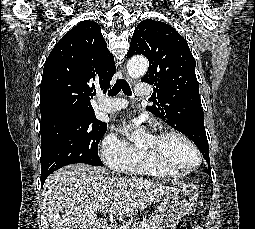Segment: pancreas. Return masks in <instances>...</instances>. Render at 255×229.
I'll return each instance as SVG.
<instances>
[{
	"instance_id": "obj_1",
	"label": "pancreas",
	"mask_w": 255,
	"mask_h": 229,
	"mask_svg": "<svg viewBox=\"0 0 255 229\" xmlns=\"http://www.w3.org/2000/svg\"><path fill=\"white\" fill-rule=\"evenodd\" d=\"M144 225H148V229H161L156 223L155 221H152V220H143V221H140V222H134L132 225H127V226H124L122 229H135V228H141L143 227Z\"/></svg>"
}]
</instances>
